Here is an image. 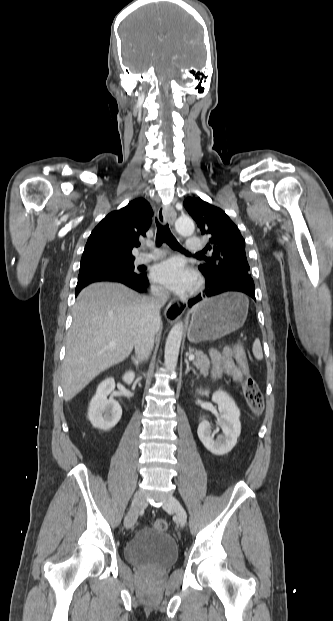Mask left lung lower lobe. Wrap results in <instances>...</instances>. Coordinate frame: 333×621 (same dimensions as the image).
Returning <instances> with one entry per match:
<instances>
[{
    "mask_svg": "<svg viewBox=\"0 0 333 621\" xmlns=\"http://www.w3.org/2000/svg\"><path fill=\"white\" fill-rule=\"evenodd\" d=\"M205 279L207 289L202 295L199 294L197 297L190 299L188 302L189 307H192L203 298L216 296L228 291L242 292L251 296L255 300V286L252 278L231 276L216 283L210 282L206 277Z\"/></svg>",
    "mask_w": 333,
    "mask_h": 621,
    "instance_id": "obj_1",
    "label": "left lung lower lobe"
}]
</instances>
